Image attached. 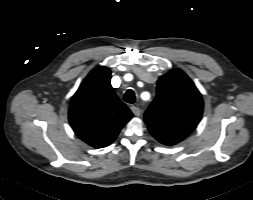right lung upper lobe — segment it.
<instances>
[{
  "label": "right lung upper lobe",
  "mask_w": 253,
  "mask_h": 200,
  "mask_svg": "<svg viewBox=\"0 0 253 200\" xmlns=\"http://www.w3.org/2000/svg\"><path fill=\"white\" fill-rule=\"evenodd\" d=\"M133 117L116 96L107 67L93 69L73 95L69 122L76 135L95 148L111 144Z\"/></svg>",
  "instance_id": "cb5924a9"
}]
</instances>
